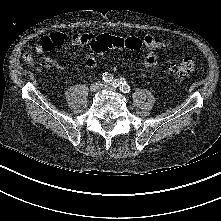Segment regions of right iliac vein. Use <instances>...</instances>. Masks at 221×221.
<instances>
[{
    "mask_svg": "<svg viewBox=\"0 0 221 221\" xmlns=\"http://www.w3.org/2000/svg\"><path fill=\"white\" fill-rule=\"evenodd\" d=\"M103 83L102 82H95L93 84H91L90 86V90L91 92H97L99 89H101L103 87Z\"/></svg>",
    "mask_w": 221,
    "mask_h": 221,
    "instance_id": "obj_1",
    "label": "right iliac vein"
}]
</instances>
